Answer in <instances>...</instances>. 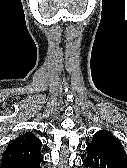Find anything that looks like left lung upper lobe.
<instances>
[{"instance_id": "obj_1", "label": "left lung upper lobe", "mask_w": 127, "mask_h": 168, "mask_svg": "<svg viewBox=\"0 0 127 168\" xmlns=\"http://www.w3.org/2000/svg\"><path fill=\"white\" fill-rule=\"evenodd\" d=\"M94 138L105 139V140H108V141L112 142L114 145L117 146V148L120 150V152L122 153V155L124 156V158L127 159V154L125 153V151L123 149V146L120 143V141L118 140V138L114 137L108 131H105V130L98 131V132H96V134H94L93 139Z\"/></svg>"}]
</instances>
